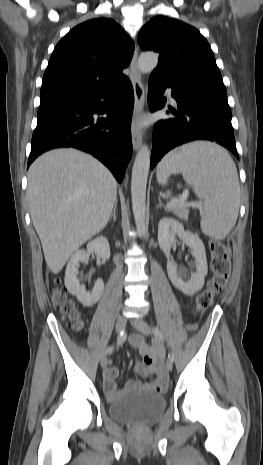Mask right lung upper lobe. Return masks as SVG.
Listing matches in <instances>:
<instances>
[{
    "label": "right lung upper lobe",
    "mask_w": 263,
    "mask_h": 465,
    "mask_svg": "<svg viewBox=\"0 0 263 465\" xmlns=\"http://www.w3.org/2000/svg\"><path fill=\"white\" fill-rule=\"evenodd\" d=\"M133 53V41L114 20L92 19L76 26L52 53L40 102L118 84Z\"/></svg>",
    "instance_id": "obj_1"
}]
</instances>
